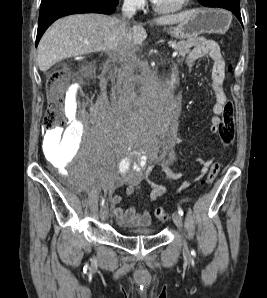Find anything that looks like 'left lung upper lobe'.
I'll return each instance as SVG.
<instances>
[{
	"label": "left lung upper lobe",
	"instance_id": "5c2ea615",
	"mask_svg": "<svg viewBox=\"0 0 267 298\" xmlns=\"http://www.w3.org/2000/svg\"><path fill=\"white\" fill-rule=\"evenodd\" d=\"M198 1H199V3H201L204 6H209L210 2H212L214 0H198ZM232 1L239 3V0H232Z\"/></svg>",
	"mask_w": 267,
	"mask_h": 298
}]
</instances>
